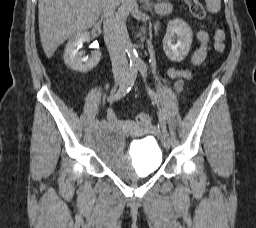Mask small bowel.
I'll list each match as a JSON object with an SVG mask.
<instances>
[{"label":"small bowel","instance_id":"small-bowel-1","mask_svg":"<svg viewBox=\"0 0 256 228\" xmlns=\"http://www.w3.org/2000/svg\"><path fill=\"white\" fill-rule=\"evenodd\" d=\"M170 10L171 7L166 3H160L157 5V11L162 15L169 13ZM197 39L200 45L191 55V63L194 65H199L205 60L208 49L209 35L206 31L200 30L197 33ZM167 74L175 81L174 87L178 92L182 90L184 82L191 77L190 71L179 70L173 67L168 68ZM106 116L112 124H119V120L112 109L106 110ZM150 131L155 133L157 132V129L151 128Z\"/></svg>","mask_w":256,"mask_h":228}]
</instances>
